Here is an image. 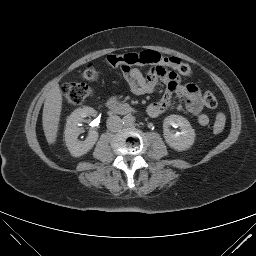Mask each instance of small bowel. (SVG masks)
Wrapping results in <instances>:
<instances>
[{"instance_id": "obj_1", "label": "small bowel", "mask_w": 256, "mask_h": 256, "mask_svg": "<svg viewBox=\"0 0 256 256\" xmlns=\"http://www.w3.org/2000/svg\"><path fill=\"white\" fill-rule=\"evenodd\" d=\"M121 74L135 95L150 94L154 92L159 83L166 86L163 98L147 107L150 117L156 118L164 113L171 105L172 96H176L185 99L187 111L196 116L200 126L209 124V117L202 113L203 101L197 86L191 83L181 84L179 73L171 68L166 61L151 65L146 74L133 66L121 68Z\"/></svg>"}]
</instances>
